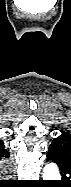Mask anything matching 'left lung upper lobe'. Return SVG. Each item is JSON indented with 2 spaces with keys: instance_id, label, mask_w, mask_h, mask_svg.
<instances>
[{
  "instance_id": "5c2ea615",
  "label": "left lung upper lobe",
  "mask_w": 71,
  "mask_h": 187,
  "mask_svg": "<svg viewBox=\"0 0 71 187\" xmlns=\"http://www.w3.org/2000/svg\"><path fill=\"white\" fill-rule=\"evenodd\" d=\"M49 148L59 151L71 161V134L62 132L60 136L53 139Z\"/></svg>"
}]
</instances>
